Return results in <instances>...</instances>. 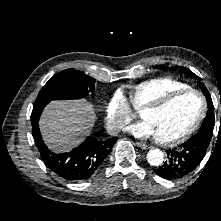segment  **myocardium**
I'll use <instances>...</instances> for the list:
<instances>
[{"mask_svg":"<svg viewBox=\"0 0 221 221\" xmlns=\"http://www.w3.org/2000/svg\"><path fill=\"white\" fill-rule=\"evenodd\" d=\"M185 94H195L199 97L201 101V109H200L198 116L186 130H184L181 134L175 137L168 138V139L155 137V141L158 144L166 145V146L178 145L184 142L185 140H187L198 129L203 119L205 118V115L207 112V101H206L205 96L199 90L188 87L184 89L171 91L140 109V117H142V115L146 112H156V111H160L164 109L171 102H173L178 97L185 95Z\"/></svg>","mask_w":221,"mask_h":221,"instance_id":"f54148a6","label":"myocardium"}]
</instances>
